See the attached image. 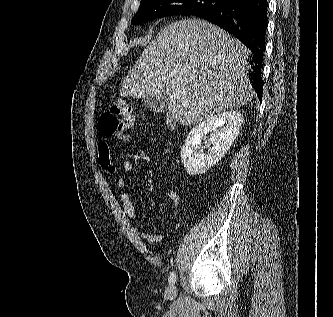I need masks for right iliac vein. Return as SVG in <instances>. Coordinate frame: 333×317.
<instances>
[{"label":"right iliac vein","instance_id":"63e3f726","mask_svg":"<svg viewBox=\"0 0 333 317\" xmlns=\"http://www.w3.org/2000/svg\"><path fill=\"white\" fill-rule=\"evenodd\" d=\"M166 295L168 298H174L177 295V289L174 285H170L167 289H166Z\"/></svg>","mask_w":333,"mask_h":317}]
</instances>
